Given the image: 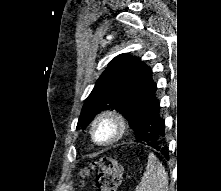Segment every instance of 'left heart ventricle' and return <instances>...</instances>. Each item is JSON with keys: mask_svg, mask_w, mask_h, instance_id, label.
<instances>
[{"mask_svg": "<svg viewBox=\"0 0 221 191\" xmlns=\"http://www.w3.org/2000/svg\"><path fill=\"white\" fill-rule=\"evenodd\" d=\"M114 133V126L110 122L100 124L96 129V139L100 142L108 140Z\"/></svg>", "mask_w": 221, "mask_h": 191, "instance_id": "b2bd125f", "label": "left heart ventricle"}]
</instances>
